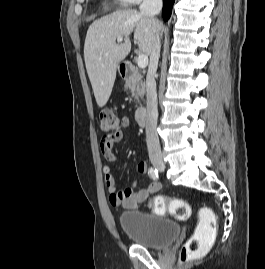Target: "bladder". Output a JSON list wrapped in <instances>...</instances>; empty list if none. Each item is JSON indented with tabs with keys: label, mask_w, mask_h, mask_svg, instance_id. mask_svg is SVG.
Instances as JSON below:
<instances>
[{
	"label": "bladder",
	"mask_w": 265,
	"mask_h": 269,
	"mask_svg": "<svg viewBox=\"0 0 265 269\" xmlns=\"http://www.w3.org/2000/svg\"><path fill=\"white\" fill-rule=\"evenodd\" d=\"M119 225L135 244L154 250L170 246L180 231L172 220L139 210L122 212Z\"/></svg>",
	"instance_id": "bladder-1"
}]
</instances>
